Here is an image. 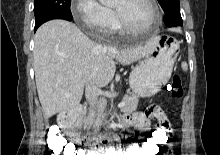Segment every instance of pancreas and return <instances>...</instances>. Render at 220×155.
Returning a JSON list of instances; mask_svg holds the SVG:
<instances>
[{
	"instance_id": "cf45deb5",
	"label": "pancreas",
	"mask_w": 220,
	"mask_h": 155,
	"mask_svg": "<svg viewBox=\"0 0 220 155\" xmlns=\"http://www.w3.org/2000/svg\"><path fill=\"white\" fill-rule=\"evenodd\" d=\"M122 102H125V105L121 108L122 112H133L137 109L139 98L136 95H126L123 97ZM104 108L102 106L97 107V113L93 110H90L88 116L84 119V126H99L102 123L104 117Z\"/></svg>"
}]
</instances>
